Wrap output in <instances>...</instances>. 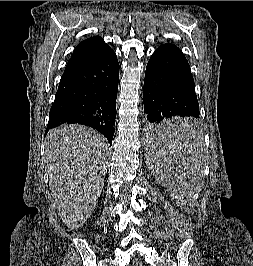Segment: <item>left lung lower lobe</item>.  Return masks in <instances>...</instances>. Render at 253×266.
Segmentation results:
<instances>
[{
    "label": "left lung lower lobe",
    "instance_id": "0a47b994",
    "mask_svg": "<svg viewBox=\"0 0 253 266\" xmlns=\"http://www.w3.org/2000/svg\"><path fill=\"white\" fill-rule=\"evenodd\" d=\"M144 112L150 140L186 138L194 133V119L199 117L190 66L175 45H161L151 56L144 80ZM190 117L176 119L169 118Z\"/></svg>",
    "mask_w": 253,
    "mask_h": 266
}]
</instances>
